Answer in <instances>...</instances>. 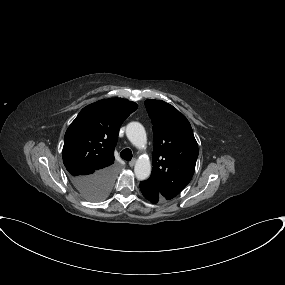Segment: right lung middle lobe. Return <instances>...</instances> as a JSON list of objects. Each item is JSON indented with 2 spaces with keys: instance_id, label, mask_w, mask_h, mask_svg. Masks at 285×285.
I'll return each mask as SVG.
<instances>
[{
  "instance_id": "right-lung-middle-lobe-1",
  "label": "right lung middle lobe",
  "mask_w": 285,
  "mask_h": 285,
  "mask_svg": "<svg viewBox=\"0 0 285 285\" xmlns=\"http://www.w3.org/2000/svg\"><path fill=\"white\" fill-rule=\"evenodd\" d=\"M107 195H108V193H94V194L86 197V199H88L90 201H100V200L104 199Z\"/></svg>"
}]
</instances>
